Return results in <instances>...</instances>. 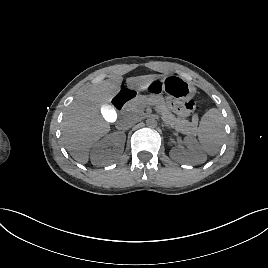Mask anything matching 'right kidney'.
<instances>
[{"mask_svg": "<svg viewBox=\"0 0 268 268\" xmlns=\"http://www.w3.org/2000/svg\"><path fill=\"white\" fill-rule=\"evenodd\" d=\"M126 135L112 133L97 142L91 151V162L95 166H105L116 162L124 151Z\"/></svg>", "mask_w": 268, "mask_h": 268, "instance_id": "1", "label": "right kidney"}]
</instances>
